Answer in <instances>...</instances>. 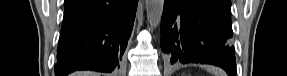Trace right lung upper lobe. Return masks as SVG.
Listing matches in <instances>:
<instances>
[{"label":"right lung upper lobe","mask_w":287,"mask_h":76,"mask_svg":"<svg viewBox=\"0 0 287 76\" xmlns=\"http://www.w3.org/2000/svg\"><path fill=\"white\" fill-rule=\"evenodd\" d=\"M69 1L75 2L76 0H69Z\"/></svg>","instance_id":"1"}]
</instances>
